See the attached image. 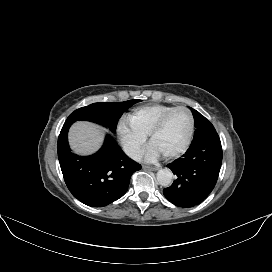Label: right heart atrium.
<instances>
[{
    "mask_svg": "<svg viewBox=\"0 0 272 272\" xmlns=\"http://www.w3.org/2000/svg\"><path fill=\"white\" fill-rule=\"evenodd\" d=\"M118 134L126 153L137 158L144 148L146 136L133 130L124 121L118 125Z\"/></svg>",
    "mask_w": 272,
    "mask_h": 272,
    "instance_id": "d8ad5b80",
    "label": "right heart atrium"
}]
</instances>
